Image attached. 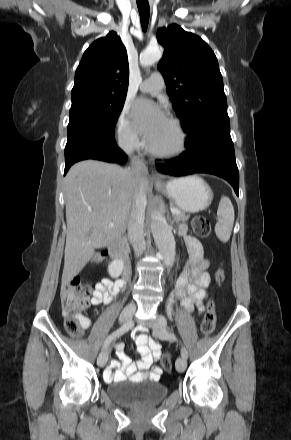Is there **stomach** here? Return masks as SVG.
<instances>
[{
	"instance_id": "1",
	"label": "stomach",
	"mask_w": 291,
	"mask_h": 440,
	"mask_svg": "<svg viewBox=\"0 0 291 440\" xmlns=\"http://www.w3.org/2000/svg\"><path fill=\"white\" fill-rule=\"evenodd\" d=\"M156 189L166 194L175 205L185 212H199L208 208L213 200V191L199 176L192 175L168 181Z\"/></svg>"
}]
</instances>
